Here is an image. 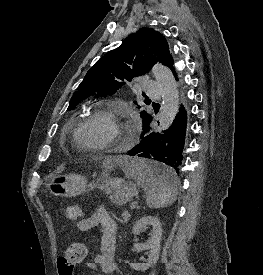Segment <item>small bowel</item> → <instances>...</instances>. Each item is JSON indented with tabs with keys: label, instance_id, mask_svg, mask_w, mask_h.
Returning a JSON list of instances; mask_svg holds the SVG:
<instances>
[{
	"label": "small bowel",
	"instance_id": "small-bowel-1",
	"mask_svg": "<svg viewBox=\"0 0 263 275\" xmlns=\"http://www.w3.org/2000/svg\"><path fill=\"white\" fill-rule=\"evenodd\" d=\"M77 228L82 232L90 231L94 228L101 230L100 252L94 257L93 261L87 263V267L91 271H95L97 266H99L104 274H112L116 269L117 225L114 219L105 208L99 207L90 216L80 220L77 223Z\"/></svg>",
	"mask_w": 263,
	"mask_h": 275
}]
</instances>
